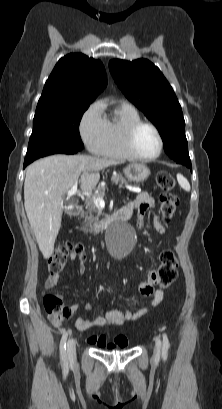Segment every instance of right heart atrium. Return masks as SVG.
<instances>
[{"mask_svg": "<svg viewBox=\"0 0 222 409\" xmlns=\"http://www.w3.org/2000/svg\"><path fill=\"white\" fill-rule=\"evenodd\" d=\"M79 132L88 150L98 154L106 135V119L99 103H92L83 112Z\"/></svg>", "mask_w": 222, "mask_h": 409, "instance_id": "d8ad5b80", "label": "right heart atrium"}]
</instances>
